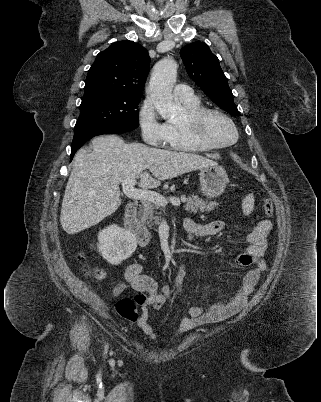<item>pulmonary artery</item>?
I'll return each mask as SVG.
<instances>
[{
  "instance_id": "pulmonary-artery-1",
  "label": "pulmonary artery",
  "mask_w": 321,
  "mask_h": 402,
  "mask_svg": "<svg viewBox=\"0 0 321 402\" xmlns=\"http://www.w3.org/2000/svg\"><path fill=\"white\" fill-rule=\"evenodd\" d=\"M175 96L182 102L193 101L196 99L192 88L184 84H178L174 87Z\"/></svg>"
}]
</instances>
